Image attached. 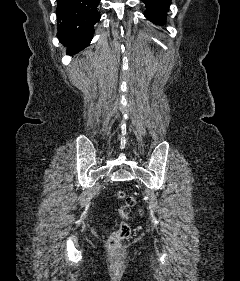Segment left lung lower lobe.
<instances>
[{
    "instance_id": "0a47b994",
    "label": "left lung lower lobe",
    "mask_w": 240,
    "mask_h": 281,
    "mask_svg": "<svg viewBox=\"0 0 240 281\" xmlns=\"http://www.w3.org/2000/svg\"><path fill=\"white\" fill-rule=\"evenodd\" d=\"M146 5L145 17L154 24L163 25L171 0H142Z\"/></svg>"
}]
</instances>
